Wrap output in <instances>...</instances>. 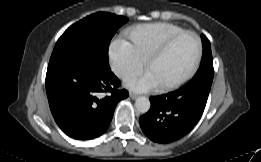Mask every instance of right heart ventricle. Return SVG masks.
Returning a JSON list of instances; mask_svg holds the SVG:
<instances>
[{
    "mask_svg": "<svg viewBox=\"0 0 261 162\" xmlns=\"http://www.w3.org/2000/svg\"><path fill=\"white\" fill-rule=\"evenodd\" d=\"M181 31L184 29L176 24L157 22L132 27L128 30V37L137 53L146 59L166 39Z\"/></svg>",
    "mask_w": 261,
    "mask_h": 162,
    "instance_id": "obj_1",
    "label": "right heart ventricle"
}]
</instances>
